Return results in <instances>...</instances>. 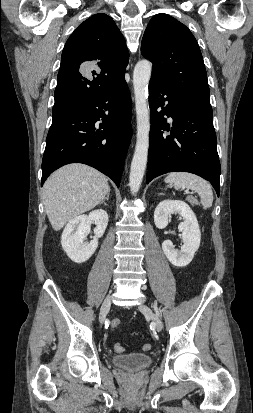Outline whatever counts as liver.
<instances>
[{"instance_id":"liver-1","label":"liver","mask_w":253,"mask_h":413,"mask_svg":"<svg viewBox=\"0 0 253 413\" xmlns=\"http://www.w3.org/2000/svg\"><path fill=\"white\" fill-rule=\"evenodd\" d=\"M110 191L108 180L84 164H69L56 170L43 186V204L55 231L93 209Z\"/></svg>"}]
</instances>
